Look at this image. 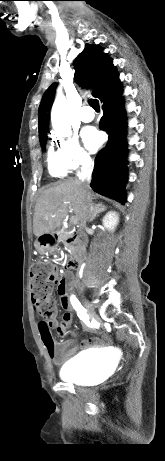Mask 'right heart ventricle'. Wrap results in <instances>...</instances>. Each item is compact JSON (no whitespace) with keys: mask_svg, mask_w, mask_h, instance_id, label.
I'll use <instances>...</instances> for the list:
<instances>
[{"mask_svg":"<svg viewBox=\"0 0 165 461\" xmlns=\"http://www.w3.org/2000/svg\"><path fill=\"white\" fill-rule=\"evenodd\" d=\"M47 162L48 171L53 177H64L67 174L66 168L60 163L57 153L52 149L48 152Z\"/></svg>","mask_w":165,"mask_h":461,"instance_id":"obj_1","label":"right heart ventricle"}]
</instances>
